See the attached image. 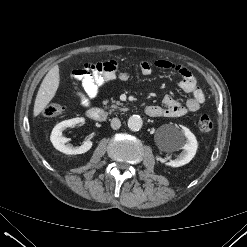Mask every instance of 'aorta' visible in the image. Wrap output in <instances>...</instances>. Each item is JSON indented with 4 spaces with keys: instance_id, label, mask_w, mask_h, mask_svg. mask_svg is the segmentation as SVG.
I'll return each instance as SVG.
<instances>
[{
    "instance_id": "1",
    "label": "aorta",
    "mask_w": 247,
    "mask_h": 247,
    "mask_svg": "<svg viewBox=\"0 0 247 247\" xmlns=\"http://www.w3.org/2000/svg\"><path fill=\"white\" fill-rule=\"evenodd\" d=\"M143 121L139 115H132L128 119V127L132 131H138L142 128Z\"/></svg>"
}]
</instances>
